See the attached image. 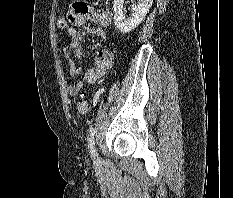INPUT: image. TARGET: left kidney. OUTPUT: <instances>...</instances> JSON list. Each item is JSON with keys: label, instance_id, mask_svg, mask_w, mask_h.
<instances>
[{"label": "left kidney", "instance_id": "obj_1", "mask_svg": "<svg viewBox=\"0 0 233 198\" xmlns=\"http://www.w3.org/2000/svg\"><path fill=\"white\" fill-rule=\"evenodd\" d=\"M152 3L153 0H139L137 4L132 5V16L126 18L124 0H114V23L118 31L127 33L135 29L145 18Z\"/></svg>", "mask_w": 233, "mask_h": 198}]
</instances>
